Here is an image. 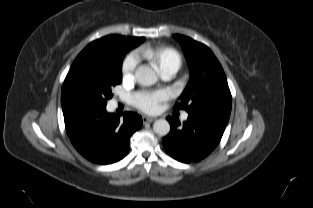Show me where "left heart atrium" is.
Wrapping results in <instances>:
<instances>
[{
  "mask_svg": "<svg viewBox=\"0 0 313 208\" xmlns=\"http://www.w3.org/2000/svg\"><path fill=\"white\" fill-rule=\"evenodd\" d=\"M166 98L165 93L161 91L156 92H138L133 95L134 105L146 112V113H156L160 110L161 102Z\"/></svg>",
  "mask_w": 313,
  "mask_h": 208,
  "instance_id": "left-heart-atrium-1",
  "label": "left heart atrium"
}]
</instances>
